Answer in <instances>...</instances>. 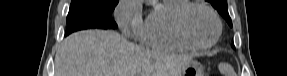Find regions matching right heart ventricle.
I'll return each instance as SVG.
<instances>
[{
    "label": "right heart ventricle",
    "mask_w": 287,
    "mask_h": 76,
    "mask_svg": "<svg viewBox=\"0 0 287 76\" xmlns=\"http://www.w3.org/2000/svg\"><path fill=\"white\" fill-rule=\"evenodd\" d=\"M188 0H162L150 11L138 35L139 41L156 50L181 52L190 48L174 30V16Z\"/></svg>",
    "instance_id": "e07e8e85"
}]
</instances>
